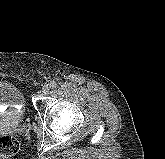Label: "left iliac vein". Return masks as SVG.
I'll return each mask as SVG.
<instances>
[{
	"instance_id": "1",
	"label": "left iliac vein",
	"mask_w": 165,
	"mask_h": 159,
	"mask_svg": "<svg viewBox=\"0 0 165 159\" xmlns=\"http://www.w3.org/2000/svg\"><path fill=\"white\" fill-rule=\"evenodd\" d=\"M49 89H50V85H49V84H45V85L42 87V93H43L44 95L48 94Z\"/></svg>"
}]
</instances>
